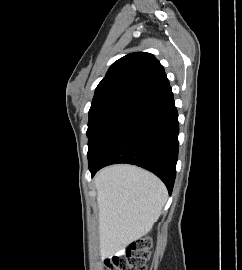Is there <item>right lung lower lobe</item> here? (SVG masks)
Wrapping results in <instances>:
<instances>
[{"mask_svg": "<svg viewBox=\"0 0 242 270\" xmlns=\"http://www.w3.org/2000/svg\"><path fill=\"white\" fill-rule=\"evenodd\" d=\"M178 133V114L169 87L130 112L89 162L92 177L110 164H134L157 175L171 194L176 176Z\"/></svg>", "mask_w": 242, "mask_h": 270, "instance_id": "1", "label": "right lung lower lobe"}]
</instances>
